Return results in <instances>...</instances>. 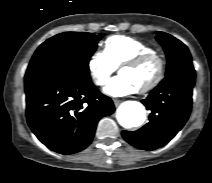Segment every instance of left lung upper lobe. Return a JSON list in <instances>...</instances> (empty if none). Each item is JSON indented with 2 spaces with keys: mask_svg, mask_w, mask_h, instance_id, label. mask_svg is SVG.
I'll list each match as a JSON object with an SVG mask.
<instances>
[{
  "mask_svg": "<svg viewBox=\"0 0 212 183\" xmlns=\"http://www.w3.org/2000/svg\"><path fill=\"white\" fill-rule=\"evenodd\" d=\"M156 39L163 46L167 56L166 75L182 63L192 60L186 45L175 37L164 32H157Z\"/></svg>",
  "mask_w": 212,
  "mask_h": 183,
  "instance_id": "obj_1",
  "label": "left lung upper lobe"
}]
</instances>
